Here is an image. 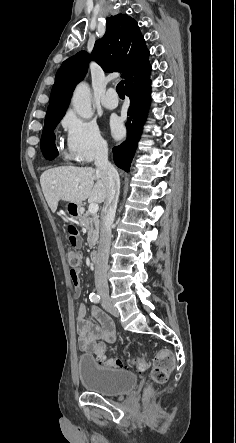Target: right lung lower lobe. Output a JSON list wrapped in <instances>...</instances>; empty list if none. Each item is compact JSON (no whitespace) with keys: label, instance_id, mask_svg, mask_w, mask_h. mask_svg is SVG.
<instances>
[{"label":"right lung lower lobe","instance_id":"obj_1","mask_svg":"<svg viewBox=\"0 0 236 443\" xmlns=\"http://www.w3.org/2000/svg\"><path fill=\"white\" fill-rule=\"evenodd\" d=\"M150 65L133 75L125 82V93L130 98L128 119L126 122V140L113 148L115 164L129 171L137 143L140 139L142 125L150 103ZM46 159L52 160L58 155L56 146L43 151Z\"/></svg>","mask_w":236,"mask_h":443}]
</instances>
